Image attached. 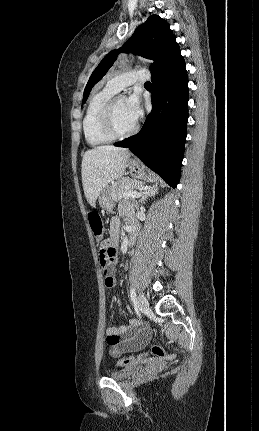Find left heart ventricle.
Returning <instances> with one entry per match:
<instances>
[{
  "instance_id": "b2bd125f",
  "label": "left heart ventricle",
  "mask_w": 259,
  "mask_h": 431,
  "mask_svg": "<svg viewBox=\"0 0 259 431\" xmlns=\"http://www.w3.org/2000/svg\"><path fill=\"white\" fill-rule=\"evenodd\" d=\"M114 118L117 128L120 131H127L131 129L135 122L130 118L126 110V99L120 98L114 110Z\"/></svg>"
}]
</instances>
